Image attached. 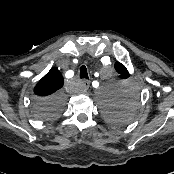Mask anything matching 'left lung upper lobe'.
Returning a JSON list of instances; mask_svg holds the SVG:
<instances>
[{"mask_svg":"<svg viewBox=\"0 0 174 174\" xmlns=\"http://www.w3.org/2000/svg\"><path fill=\"white\" fill-rule=\"evenodd\" d=\"M115 69L116 71L121 74L122 78H128L129 72L125 68L124 65H122L119 62L115 63ZM132 106V102L121 106V107H112L107 111V117L110 121L117 123V124H125L130 119V108Z\"/></svg>","mask_w":174,"mask_h":174,"instance_id":"5c2ea615","label":"left lung upper lobe"}]
</instances>
